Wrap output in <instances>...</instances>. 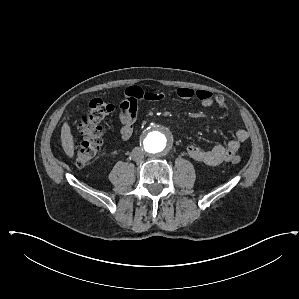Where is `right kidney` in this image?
I'll return each instance as SVG.
<instances>
[{
  "mask_svg": "<svg viewBox=\"0 0 299 299\" xmlns=\"http://www.w3.org/2000/svg\"><path fill=\"white\" fill-rule=\"evenodd\" d=\"M112 154H113V155L116 154V151L112 152Z\"/></svg>",
  "mask_w": 299,
  "mask_h": 299,
  "instance_id": "obj_1",
  "label": "right kidney"
}]
</instances>
